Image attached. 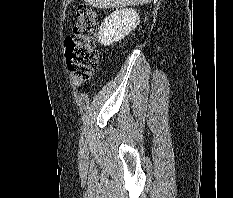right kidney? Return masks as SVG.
<instances>
[{
	"label": "right kidney",
	"instance_id": "obj_1",
	"mask_svg": "<svg viewBox=\"0 0 233 198\" xmlns=\"http://www.w3.org/2000/svg\"><path fill=\"white\" fill-rule=\"evenodd\" d=\"M140 23L137 12L130 8H124L112 12L102 22L98 41L104 46H109L122 40Z\"/></svg>",
	"mask_w": 233,
	"mask_h": 198
}]
</instances>
